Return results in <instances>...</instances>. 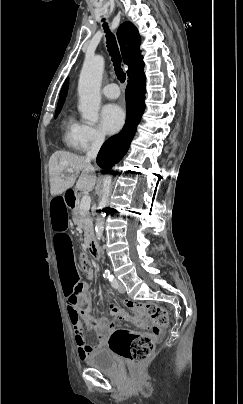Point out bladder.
<instances>
[{
	"instance_id": "1",
	"label": "bladder",
	"mask_w": 243,
	"mask_h": 404,
	"mask_svg": "<svg viewBox=\"0 0 243 404\" xmlns=\"http://www.w3.org/2000/svg\"><path fill=\"white\" fill-rule=\"evenodd\" d=\"M85 362L89 367L106 374H113L119 369L118 361L112 351L107 348L93 349Z\"/></svg>"
}]
</instances>
